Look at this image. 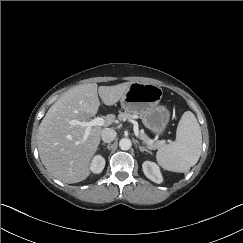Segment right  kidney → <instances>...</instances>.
Instances as JSON below:
<instances>
[{
    "instance_id": "1",
    "label": "right kidney",
    "mask_w": 243,
    "mask_h": 243,
    "mask_svg": "<svg viewBox=\"0 0 243 243\" xmlns=\"http://www.w3.org/2000/svg\"><path fill=\"white\" fill-rule=\"evenodd\" d=\"M105 167V159L101 155H96L90 165V170L95 173L99 174L103 171Z\"/></svg>"
}]
</instances>
